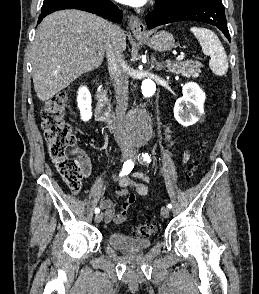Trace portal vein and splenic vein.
I'll list each match as a JSON object with an SVG mask.
<instances>
[{
  "mask_svg": "<svg viewBox=\"0 0 259 294\" xmlns=\"http://www.w3.org/2000/svg\"><path fill=\"white\" fill-rule=\"evenodd\" d=\"M184 58H185L184 55H180V56H178V57L176 58V60H177V61H181V60H183Z\"/></svg>",
  "mask_w": 259,
  "mask_h": 294,
  "instance_id": "1",
  "label": "portal vein and splenic vein"
}]
</instances>
